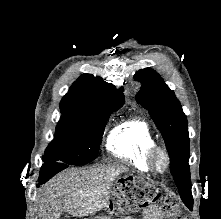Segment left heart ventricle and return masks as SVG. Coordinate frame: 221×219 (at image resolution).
<instances>
[{
	"instance_id": "b2bd125f",
	"label": "left heart ventricle",
	"mask_w": 221,
	"mask_h": 219,
	"mask_svg": "<svg viewBox=\"0 0 221 219\" xmlns=\"http://www.w3.org/2000/svg\"><path fill=\"white\" fill-rule=\"evenodd\" d=\"M157 165H158L159 168L163 167V161L160 157L157 159Z\"/></svg>"
}]
</instances>
